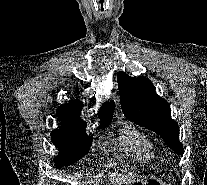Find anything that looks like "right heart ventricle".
Wrapping results in <instances>:
<instances>
[{
    "label": "right heart ventricle",
    "mask_w": 207,
    "mask_h": 185,
    "mask_svg": "<svg viewBox=\"0 0 207 185\" xmlns=\"http://www.w3.org/2000/svg\"><path fill=\"white\" fill-rule=\"evenodd\" d=\"M122 142L125 147L136 152L140 158L150 159L154 155V148L148 138L132 127L124 130Z\"/></svg>",
    "instance_id": "obj_1"
}]
</instances>
